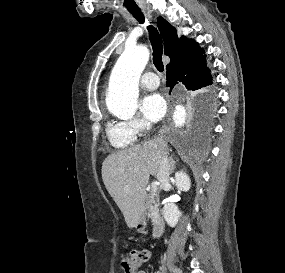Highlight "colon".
Listing matches in <instances>:
<instances>
[{
    "instance_id": "5ec220e1",
    "label": "colon",
    "mask_w": 285,
    "mask_h": 273,
    "mask_svg": "<svg viewBox=\"0 0 285 273\" xmlns=\"http://www.w3.org/2000/svg\"><path fill=\"white\" fill-rule=\"evenodd\" d=\"M149 259V252L145 249L132 250L121 260L124 273H137L141 266Z\"/></svg>"
}]
</instances>
